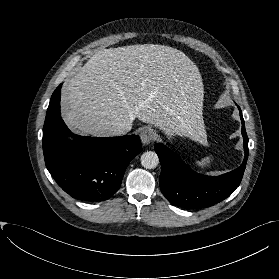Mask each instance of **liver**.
I'll return each mask as SVG.
<instances>
[{"mask_svg": "<svg viewBox=\"0 0 279 279\" xmlns=\"http://www.w3.org/2000/svg\"><path fill=\"white\" fill-rule=\"evenodd\" d=\"M203 97L199 69L182 51L139 44L95 53L62 89L61 109L70 127L97 137L121 135L137 118L207 145Z\"/></svg>", "mask_w": 279, "mask_h": 279, "instance_id": "obj_1", "label": "liver"}]
</instances>
